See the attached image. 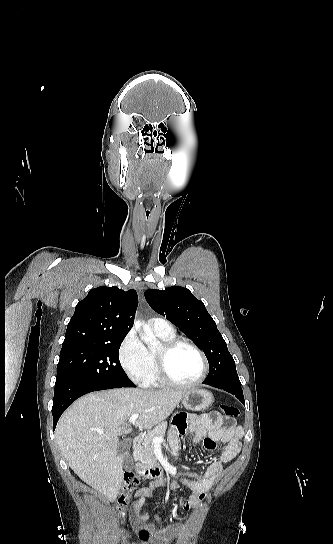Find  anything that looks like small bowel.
Returning <instances> with one entry per match:
<instances>
[{"label": "small bowel", "mask_w": 333, "mask_h": 544, "mask_svg": "<svg viewBox=\"0 0 333 544\" xmlns=\"http://www.w3.org/2000/svg\"><path fill=\"white\" fill-rule=\"evenodd\" d=\"M225 422H228L225 425ZM186 433L197 442L204 439V447L208 451H215L218 443H225L221 453L209 463L201 472L188 473L180 482L190 491L187 499L179 498L177 503L183 509L188 510L198 504L205 493L216 483L223 471L224 464L233 460L240 451L242 430L233 423L230 418H224L218 412L203 415H187L174 420L170 433L169 444L173 452L179 448V444ZM178 481L172 482L173 487H178ZM163 485V480H155L149 486L143 487L136 494V501L131 509V525L143 544H174L185 535V528L181 524H175L154 533L147 526V514L144 510L145 500L151 496L153 490Z\"/></svg>", "instance_id": "small-bowel-1"}]
</instances>
